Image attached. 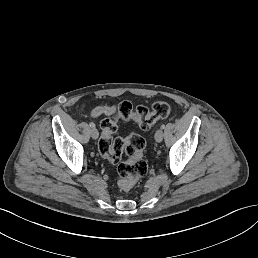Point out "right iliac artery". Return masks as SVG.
I'll use <instances>...</instances> for the list:
<instances>
[{
    "label": "right iliac artery",
    "mask_w": 258,
    "mask_h": 258,
    "mask_svg": "<svg viewBox=\"0 0 258 258\" xmlns=\"http://www.w3.org/2000/svg\"><path fill=\"white\" fill-rule=\"evenodd\" d=\"M89 126L92 127V128H94V127H95V124H94L93 122H90V123H89Z\"/></svg>",
    "instance_id": "obj_1"
}]
</instances>
